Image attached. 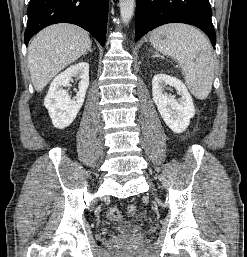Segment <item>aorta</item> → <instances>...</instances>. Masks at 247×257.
<instances>
[{
    "mask_svg": "<svg viewBox=\"0 0 247 257\" xmlns=\"http://www.w3.org/2000/svg\"><path fill=\"white\" fill-rule=\"evenodd\" d=\"M122 22L128 25L134 15L135 0H119Z\"/></svg>",
    "mask_w": 247,
    "mask_h": 257,
    "instance_id": "1",
    "label": "aorta"
}]
</instances>
